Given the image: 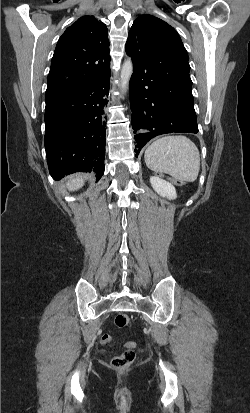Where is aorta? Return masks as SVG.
I'll use <instances>...</instances> for the list:
<instances>
[{
	"label": "aorta",
	"instance_id": "1",
	"mask_svg": "<svg viewBox=\"0 0 250 413\" xmlns=\"http://www.w3.org/2000/svg\"><path fill=\"white\" fill-rule=\"evenodd\" d=\"M133 73V63L130 59L123 63L120 74V89L122 93H125L128 89L129 81Z\"/></svg>",
	"mask_w": 250,
	"mask_h": 413
}]
</instances>
